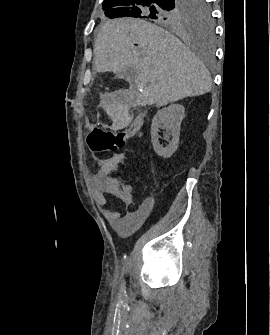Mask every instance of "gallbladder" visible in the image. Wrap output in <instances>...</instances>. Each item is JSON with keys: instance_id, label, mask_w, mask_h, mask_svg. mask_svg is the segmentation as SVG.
<instances>
[{"instance_id": "obj_1", "label": "gallbladder", "mask_w": 270, "mask_h": 335, "mask_svg": "<svg viewBox=\"0 0 270 335\" xmlns=\"http://www.w3.org/2000/svg\"><path fill=\"white\" fill-rule=\"evenodd\" d=\"M136 76L135 70L133 68H125L123 72H117V78H122V80H126V82H129V80H134Z\"/></svg>"}]
</instances>
